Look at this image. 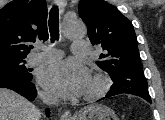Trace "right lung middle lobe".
<instances>
[{
    "mask_svg": "<svg viewBox=\"0 0 165 120\" xmlns=\"http://www.w3.org/2000/svg\"><path fill=\"white\" fill-rule=\"evenodd\" d=\"M24 59L0 61V77L32 80L30 69L24 65Z\"/></svg>",
    "mask_w": 165,
    "mask_h": 120,
    "instance_id": "right-lung-middle-lobe-1",
    "label": "right lung middle lobe"
}]
</instances>
